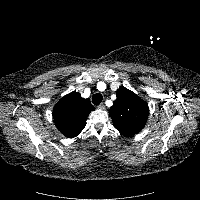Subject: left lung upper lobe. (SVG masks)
<instances>
[{
	"mask_svg": "<svg viewBox=\"0 0 200 200\" xmlns=\"http://www.w3.org/2000/svg\"><path fill=\"white\" fill-rule=\"evenodd\" d=\"M117 99L109 110L114 127L125 137L140 132L148 118V104L125 87L116 91Z\"/></svg>",
	"mask_w": 200,
	"mask_h": 200,
	"instance_id": "obj_1",
	"label": "left lung upper lobe"
}]
</instances>
